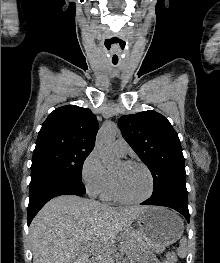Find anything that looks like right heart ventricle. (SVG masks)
<instances>
[{
    "instance_id": "1",
    "label": "right heart ventricle",
    "mask_w": 220,
    "mask_h": 263,
    "mask_svg": "<svg viewBox=\"0 0 220 263\" xmlns=\"http://www.w3.org/2000/svg\"><path fill=\"white\" fill-rule=\"evenodd\" d=\"M108 175H109V180H108L106 188L102 192V195L106 199H113L115 197H114L113 192H112L110 172H108Z\"/></svg>"
}]
</instances>
